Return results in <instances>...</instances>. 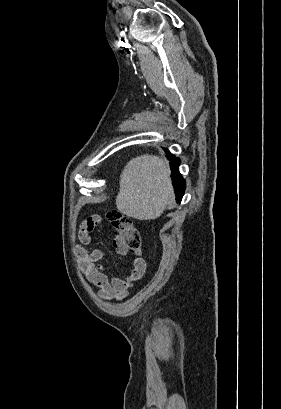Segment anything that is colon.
<instances>
[{
  "label": "colon",
  "instance_id": "colon-1",
  "mask_svg": "<svg viewBox=\"0 0 281 409\" xmlns=\"http://www.w3.org/2000/svg\"><path fill=\"white\" fill-rule=\"evenodd\" d=\"M108 221L115 231L116 238L129 253L141 255V234L133 224L131 217L118 211L107 212ZM143 277V276H136Z\"/></svg>",
  "mask_w": 281,
  "mask_h": 409
}]
</instances>
